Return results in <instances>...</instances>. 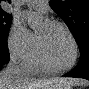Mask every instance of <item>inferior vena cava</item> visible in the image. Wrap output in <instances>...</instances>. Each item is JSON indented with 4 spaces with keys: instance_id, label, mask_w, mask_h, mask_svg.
<instances>
[{
    "instance_id": "inferior-vena-cava-1",
    "label": "inferior vena cava",
    "mask_w": 89,
    "mask_h": 89,
    "mask_svg": "<svg viewBox=\"0 0 89 89\" xmlns=\"http://www.w3.org/2000/svg\"><path fill=\"white\" fill-rule=\"evenodd\" d=\"M6 71L11 74H20L22 70L18 66L16 56L12 55L9 64L7 65Z\"/></svg>"
}]
</instances>
